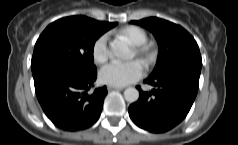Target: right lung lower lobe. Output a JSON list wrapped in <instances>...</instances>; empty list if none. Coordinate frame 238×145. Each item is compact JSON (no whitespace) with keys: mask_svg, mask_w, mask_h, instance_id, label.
<instances>
[{"mask_svg":"<svg viewBox=\"0 0 238 145\" xmlns=\"http://www.w3.org/2000/svg\"><path fill=\"white\" fill-rule=\"evenodd\" d=\"M37 99L52 123L65 131L92 126L100 117L106 87L90 92L97 70L60 60L31 64Z\"/></svg>","mask_w":238,"mask_h":145,"instance_id":"obj_1","label":"right lung lower lobe"}]
</instances>
